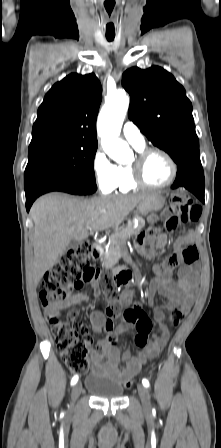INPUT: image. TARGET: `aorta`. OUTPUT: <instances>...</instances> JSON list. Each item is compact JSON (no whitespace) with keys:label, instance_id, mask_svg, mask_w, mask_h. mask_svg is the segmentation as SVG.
Masks as SVG:
<instances>
[{"label":"aorta","instance_id":"762f6f07","mask_svg":"<svg viewBox=\"0 0 221 448\" xmlns=\"http://www.w3.org/2000/svg\"><path fill=\"white\" fill-rule=\"evenodd\" d=\"M128 105L126 93L117 92L107 98L98 118L101 145L107 155L120 164L128 163L132 156L128 143L119 139Z\"/></svg>","mask_w":221,"mask_h":448}]
</instances>
